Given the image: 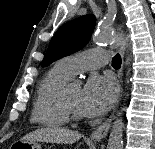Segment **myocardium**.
<instances>
[{
    "mask_svg": "<svg viewBox=\"0 0 155 149\" xmlns=\"http://www.w3.org/2000/svg\"><path fill=\"white\" fill-rule=\"evenodd\" d=\"M66 89H67L66 87L63 88L62 94H61L62 106L69 118L73 120H80L82 119L83 116L69 103L67 96H66Z\"/></svg>",
    "mask_w": 155,
    "mask_h": 149,
    "instance_id": "1",
    "label": "myocardium"
}]
</instances>
